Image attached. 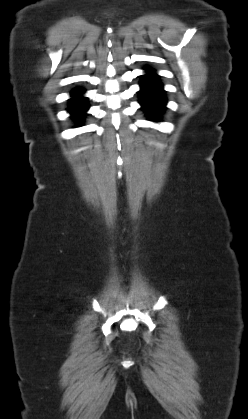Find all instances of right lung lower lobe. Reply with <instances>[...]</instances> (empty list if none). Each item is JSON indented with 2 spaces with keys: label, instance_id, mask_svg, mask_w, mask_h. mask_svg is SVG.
I'll return each mask as SVG.
<instances>
[{
  "label": "right lung lower lobe",
  "instance_id": "obj_1",
  "mask_svg": "<svg viewBox=\"0 0 248 419\" xmlns=\"http://www.w3.org/2000/svg\"><path fill=\"white\" fill-rule=\"evenodd\" d=\"M82 92V89H75L72 92L74 98L70 99V106L68 108V111L76 120H81L85 115V111L88 109L86 98L80 96Z\"/></svg>",
  "mask_w": 248,
  "mask_h": 419
}]
</instances>
